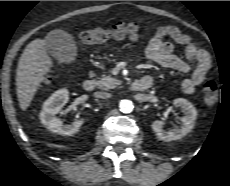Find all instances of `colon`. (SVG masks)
I'll return each mask as SVG.
<instances>
[{
	"label": "colon",
	"mask_w": 230,
	"mask_h": 186,
	"mask_svg": "<svg viewBox=\"0 0 230 186\" xmlns=\"http://www.w3.org/2000/svg\"><path fill=\"white\" fill-rule=\"evenodd\" d=\"M141 30L136 24L115 22L107 29L85 30L79 35L83 44H99L111 39L129 38L136 40L140 37ZM219 86L215 81H208L203 87L204 101L208 106H213L218 101Z\"/></svg>",
	"instance_id": "5ec220e1"
}]
</instances>
